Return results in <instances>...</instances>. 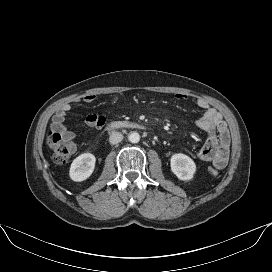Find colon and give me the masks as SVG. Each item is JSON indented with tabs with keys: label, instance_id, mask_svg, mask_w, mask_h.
Masks as SVG:
<instances>
[{
	"label": "colon",
	"instance_id": "1",
	"mask_svg": "<svg viewBox=\"0 0 272 272\" xmlns=\"http://www.w3.org/2000/svg\"><path fill=\"white\" fill-rule=\"evenodd\" d=\"M47 145L52 151V161L57 165L66 164L76 151V145L72 140L55 131L48 134ZM208 172L212 176L218 175V169L215 167H210Z\"/></svg>",
	"mask_w": 272,
	"mask_h": 272
}]
</instances>
